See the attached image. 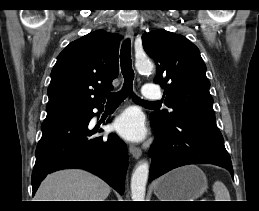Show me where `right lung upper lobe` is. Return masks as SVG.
Wrapping results in <instances>:
<instances>
[{
  "label": "right lung upper lobe",
  "mask_w": 259,
  "mask_h": 211,
  "mask_svg": "<svg viewBox=\"0 0 259 211\" xmlns=\"http://www.w3.org/2000/svg\"><path fill=\"white\" fill-rule=\"evenodd\" d=\"M121 36L105 30L91 32L70 43L58 56L48 87L45 120L100 108L103 92L113 89L118 75Z\"/></svg>",
  "instance_id": "1"
}]
</instances>
